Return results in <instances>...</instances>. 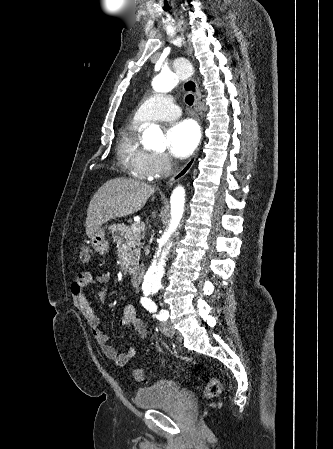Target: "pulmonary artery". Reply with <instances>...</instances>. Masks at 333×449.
Masks as SVG:
<instances>
[{"label":"pulmonary artery","mask_w":333,"mask_h":449,"mask_svg":"<svg viewBox=\"0 0 333 449\" xmlns=\"http://www.w3.org/2000/svg\"><path fill=\"white\" fill-rule=\"evenodd\" d=\"M181 114L180 108L167 95H155L147 99L136 111L135 120L141 124L151 121H168L177 118Z\"/></svg>","instance_id":"obj_1"}]
</instances>
